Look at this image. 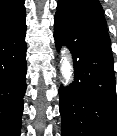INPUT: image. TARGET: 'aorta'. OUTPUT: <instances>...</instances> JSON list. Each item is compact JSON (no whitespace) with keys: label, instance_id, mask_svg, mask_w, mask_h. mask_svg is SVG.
I'll use <instances>...</instances> for the list:
<instances>
[{"label":"aorta","instance_id":"obj_1","mask_svg":"<svg viewBox=\"0 0 117 136\" xmlns=\"http://www.w3.org/2000/svg\"><path fill=\"white\" fill-rule=\"evenodd\" d=\"M61 59H60V72L65 84H68L71 76L73 74V65L71 63L68 50L66 48L61 49Z\"/></svg>","mask_w":117,"mask_h":136}]
</instances>
